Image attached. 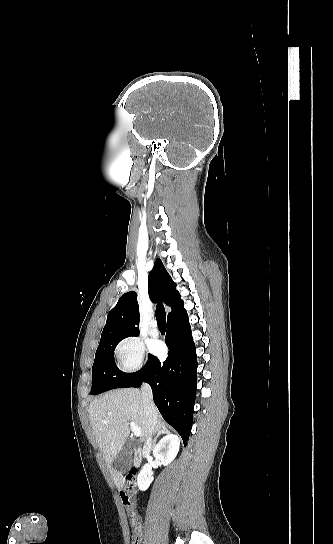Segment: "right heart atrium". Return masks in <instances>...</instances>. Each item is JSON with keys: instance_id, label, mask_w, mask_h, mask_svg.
Returning a JSON list of instances; mask_svg holds the SVG:
<instances>
[{"instance_id": "right-heart-atrium-1", "label": "right heart atrium", "mask_w": 333, "mask_h": 544, "mask_svg": "<svg viewBox=\"0 0 333 544\" xmlns=\"http://www.w3.org/2000/svg\"><path fill=\"white\" fill-rule=\"evenodd\" d=\"M118 369L123 373H134L144 365L145 353L142 342L136 336L122 338L115 346Z\"/></svg>"}]
</instances>
